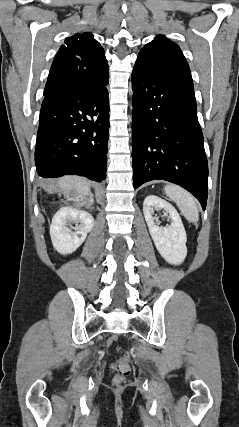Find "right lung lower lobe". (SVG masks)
<instances>
[{"instance_id": "right-lung-lower-lobe-1", "label": "right lung lower lobe", "mask_w": 239, "mask_h": 427, "mask_svg": "<svg viewBox=\"0 0 239 427\" xmlns=\"http://www.w3.org/2000/svg\"><path fill=\"white\" fill-rule=\"evenodd\" d=\"M109 74L66 83L44 93L35 149L42 177L66 174L101 182L106 177L109 139Z\"/></svg>"}]
</instances>
